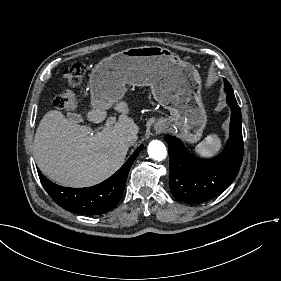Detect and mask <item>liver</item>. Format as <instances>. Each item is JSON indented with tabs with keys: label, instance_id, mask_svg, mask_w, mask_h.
I'll return each instance as SVG.
<instances>
[{
	"label": "liver",
	"instance_id": "liver-1",
	"mask_svg": "<svg viewBox=\"0 0 281 281\" xmlns=\"http://www.w3.org/2000/svg\"><path fill=\"white\" fill-rule=\"evenodd\" d=\"M108 109L92 108L89 120L102 122ZM117 109L122 114L114 128L94 134L89 127L67 120L60 111L47 112L36 129L33 144L40 170L52 180L74 187L94 186L114 174L128 150L119 136L138 133L125 104H119Z\"/></svg>",
	"mask_w": 281,
	"mask_h": 281
}]
</instances>
